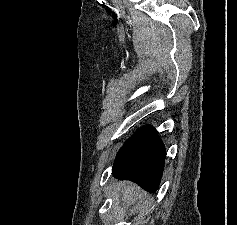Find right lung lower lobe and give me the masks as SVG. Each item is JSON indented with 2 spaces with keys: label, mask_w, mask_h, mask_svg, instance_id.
<instances>
[{
  "label": "right lung lower lobe",
  "mask_w": 237,
  "mask_h": 225,
  "mask_svg": "<svg viewBox=\"0 0 237 225\" xmlns=\"http://www.w3.org/2000/svg\"><path fill=\"white\" fill-rule=\"evenodd\" d=\"M165 146L153 127L138 129L119 150L112 174L130 180L148 192L159 188L165 163Z\"/></svg>",
  "instance_id": "obj_1"
}]
</instances>
